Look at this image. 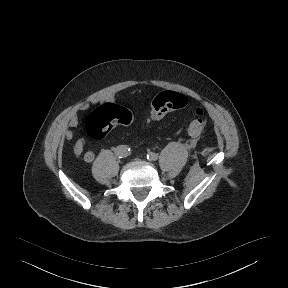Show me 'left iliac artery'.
<instances>
[{
    "label": "left iliac artery",
    "instance_id": "obj_1",
    "mask_svg": "<svg viewBox=\"0 0 288 288\" xmlns=\"http://www.w3.org/2000/svg\"><path fill=\"white\" fill-rule=\"evenodd\" d=\"M147 159L150 161H156L158 159V154L151 152L147 154Z\"/></svg>",
    "mask_w": 288,
    "mask_h": 288
}]
</instances>
